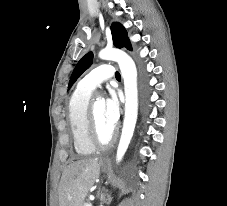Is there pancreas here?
<instances>
[{
    "instance_id": "obj_1",
    "label": "pancreas",
    "mask_w": 227,
    "mask_h": 206,
    "mask_svg": "<svg viewBox=\"0 0 227 206\" xmlns=\"http://www.w3.org/2000/svg\"><path fill=\"white\" fill-rule=\"evenodd\" d=\"M87 205V203H84L82 206H86Z\"/></svg>"
}]
</instances>
